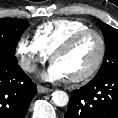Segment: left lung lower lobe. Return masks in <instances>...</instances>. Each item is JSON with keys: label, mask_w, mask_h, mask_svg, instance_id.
Returning <instances> with one entry per match:
<instances>
[{"label": "left lung lower lobe", "mask_w": 118, "mask_h": 118, "mask_svg": "<svg viewBox=\"0 0 118 118\" xmlns=\"http://www.w3.org/2000/svg\"><path fill=\"white\" fill-rule=\"evenodd\" d=\"M65 118H118V72L72 91Z\"/></svg>", "instance_id": "left-lung-lower-lobe-1"}]
</instances>
